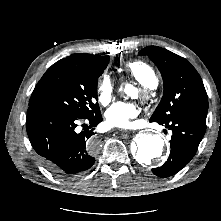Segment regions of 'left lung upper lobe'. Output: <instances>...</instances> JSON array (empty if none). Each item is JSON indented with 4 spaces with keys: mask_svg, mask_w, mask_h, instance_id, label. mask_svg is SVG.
Listing matches in <instances>:
<instances>
[{
    "mask_svg": "<svg viewBox=\"0 0 221 221\" xmlns=\"http://www.w3.org/2000/svg\"><path fill=\"white\" fill-rule=\"evenodd\" d=\"M139 55L155 63L164 82L163 97L150 121L164 124L186 116L206 123L208 97L195 68L185 58L157 46H148Z\"/></svg>",
    "mask_w": 221,
    "mask_h": 221,
    "instance_id": "obj_1",
    "label": "left lung upper lobe"
}]
</instances>
